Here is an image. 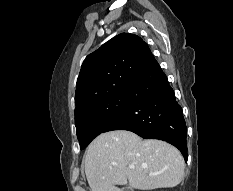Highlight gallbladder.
I'll use <instances>...</instances> for the list:
<instances>
[{"label":"gallbladder","mask_w":233,"mask_h":191,"mask_svg":"<svg viewBox=\"0 0 233 191\" xmlns=\"http://www.w3.org/2000/svg\"><path fill=\"white\" fill-rule=\"evenodd\" d=\"M122 191H133V189L131 187H126V188H123Z\"/></svg>","instance_id":"bac80fb5"}]
</instances>
